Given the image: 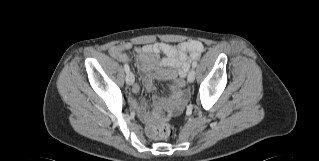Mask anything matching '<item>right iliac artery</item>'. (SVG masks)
<instances>
[{"instance_id": "obj_1", "label": "right iliac artery", "mask_w": 319, "mask_h": 161, "mask_svg": "<svg viewBox=\"0 0 319 161\" xmlns=\"http://www.w3.org/2000/svg\"><path fill=\"white\" fill-rule=\"evenodd\" d=\"M124 70L126 71V73L129 72V66H128V64H125V65H124Z\"/></svg>"}]
</instances>
